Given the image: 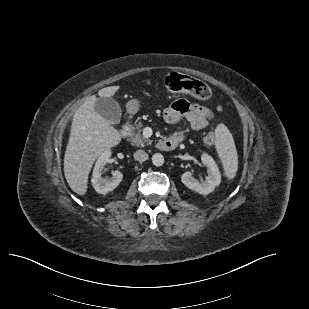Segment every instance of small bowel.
<instances>
[{"label":"small bowel","instance_id":"1","mask_svg":"<svg viewBox=\"0 0 309 309\" xmlns=\"http://www.w3.org/2000/svg\"><path fill=\"white\" fill-rule=\"evenodd\" d=\"M218 110L221 111V107ZM163 117L165 121L171 124L185 118L194 130H201L208 126L214 117V113L206 107L190 104L185 100H178L164 110ZM172 138L178 139L180 142L184 135L178 132Z\"/></svg>","mask_w":309,"mask_h":309}]
</instances>
